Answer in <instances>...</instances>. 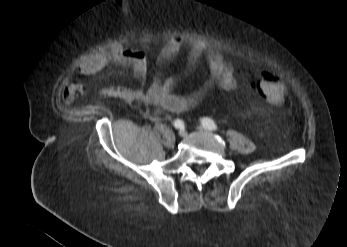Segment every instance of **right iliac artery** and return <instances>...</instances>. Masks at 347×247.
<instances>
[{
    "label": "right iliac artery",
    "mask_w": 347,
    "mask_h": 247,
    "mask_svg": "<svg viewBox=\"0 0 347 247\" xmlns=\"http://www.w3.org/2000/svg\"><path fill=\"white\" fill-rule=\"evenodd\" d=\"M174 126H175L176 128H182V127L184 126V123H183L182 120L177 119V120L174 121Z\"/></svg>",
    "instance_id": "1"
}]
</instances>
